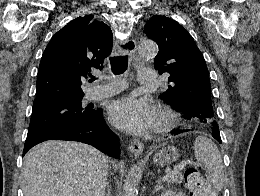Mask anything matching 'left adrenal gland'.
<instances>
[{"label":"left adrenal gland","mask_w":260,"mask_h":196,"mask_svg":"<svg viewBox=\"0 0 260 196\" xmlns=\"http://www.w3.org/2000/svg\"><path fill=\"white\" fill-rule=\"evenodd\" d=\"M158 190H163L162 180H157L153 194H156V192H158Z\"/></svg>","instance_id":"obj_1"}]
</instances>
